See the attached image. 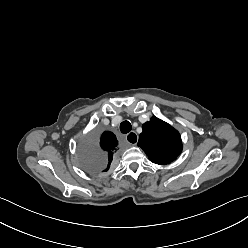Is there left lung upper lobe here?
I'll return each instance as SVG.
<instances>
[{
  "label": "left lung upper lobe",
  "instance_id": "1",
  "mask_svg": "<svg viewBox=\"0 0 248 248\" xmlns=\"http://www.w3.org/2000/svg\"><path fill=\"white\" fill-rule=\"evenodd\" d=\"M138 146L147 154L149 160L156 164H169L182 151L181 136L168 123L153 116L142 126Z\"/></svg>",
  "mask_w": 248,
  "mask_h": 248
}]
</instances>
